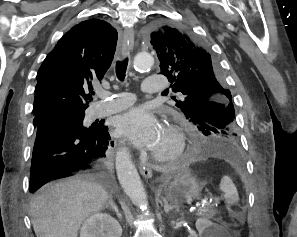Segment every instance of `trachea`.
Masks as SVG:
<instances>
[{"mask_svg":"<svg viewBox=\"0 0 297 237\" xmlns=\"http://www.w3.org/2000/svg\"><path fill=\"white\" fill-rule=\"evenodd\" d=\"M128 65V58L123 61H118L116 64V75L120 81H124L126 76V69Z\"/></svg>","mask_w":297,"mask_h":237,"instance_id":"trachea-1","label":"trachea"}]
</instances>
